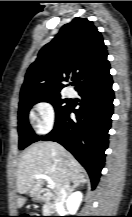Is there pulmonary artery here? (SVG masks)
<instances>
[{
	"label": "pulmonary artery",
	"mask_w": 132,
	"mask_h": 217,
	"mask_svg": "<svg viewBox=\"0 0 132 217\" xmlns=\"http://www.w3.org/2000/svg\"><path fill=\"white\" fill-rule=\"evenodd\" d=\"M67 95H68L69 97H71V96L73 95V90H72V88H68V89H67Z\"/></svg>",
	"instance_id": "1"
}]
</instances>
